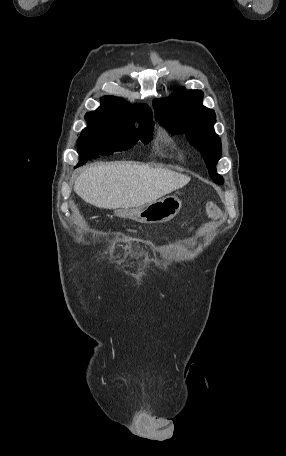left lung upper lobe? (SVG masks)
I'll return each instance as SVG.
<instances>
[{"instance_id": "1", "label": "left lung upper lobe", "mask_w": 286, "mask_h": 456, "mask_svg": "<svg viewBox=\"0 0 286 456\" xmlns=\"http://www.w3.org/2000/svg\"><path fill=\"white\" fill-rule=\"evenodd\" d=\"M203 92L200 90L177 89L167 99H155V119L172 134L185 133L191 144L197 148L207 165L211 178L219 184L223 178L216 173L221 157V140L214 132L215 112L202 105Z\"/></svg>"}]
</instances>
